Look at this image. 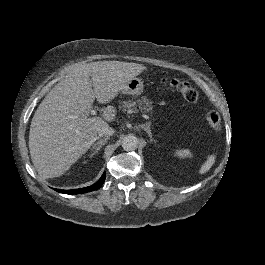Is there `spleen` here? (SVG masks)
<instances>
[{
  "label": "spleen",
  "mask_w": 265,
  "mask_h": 265,
  "mask_svg": "<svg viewBox=\"0 0 265 265\" xmlns=\"http://www.w3.org/2000/svg\"><path fill=\"white\" fill-rule=\"evenodd\" d=\"M178 154H181V152H179ZM182 154L187 155V154H188V151H183ZM212 163H213V159L210 158V159L204 164L203 168L201 169V172L203 173V172L208 171V170L210 169Z\"/></svg>",
  "instance_id": "obj_1"
}]
</instances>
